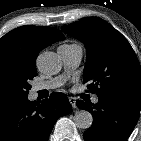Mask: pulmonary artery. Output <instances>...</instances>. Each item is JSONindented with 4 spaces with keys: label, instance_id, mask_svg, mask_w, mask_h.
Wrapping results in <instances>:
<instances>
[{
    "label": "pulmonary artery",
    "instance_id": "obj_1",
    "mask_svg": "<svg viewBox=\"0 0 141 141\" xmlns=\"http://www.w3.org/2000/svg\"><path fill=\"white\" fill-rule=\"evenodd\" d=\"M57 51L64 63L65 72L47 81L39 83L35 86L34 91L52 90L62 86L67 79L68 73L79 65L83 55L82 47L77 44L62 45ZM92 102L97 103L98 97L94 96Z\"/></svg>",
    "mask_w": 141,
    "mask_h": 141
}]
</instances>
